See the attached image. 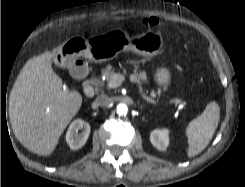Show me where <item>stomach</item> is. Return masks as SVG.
<instances>
[{"label":"stomach","instance_id":"1","mask_svg":"<svg viewBox=\"0 0 245 187\" xmlns=\"http://www.w3.org/2000/svg\"><path fill=\"white\" fill-rule=\"evenodd\" d=\"M163 46V37L159 32L148 31L133 38L119 29L110 30L106 33L95 35L89 39L72 37L62 45L54 49L53 62L59 67L70 66L79 57L102 63L115 58L125 51H132L141 56L157 54ZM170 74L160 68L155 74V80L159 84L167 85Z\"/></svg>","mask_w":245,"mask_h":187}]
</instances>
